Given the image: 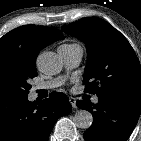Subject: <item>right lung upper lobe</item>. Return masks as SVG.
<instances>
[{"mask_svg": "<svg viewBox=\"0 0 141 141\" xmlns=\"http://www.w3.org/2000/svg\"><path fill=\"white\" fill-rule=\"evenodd\" d=\"M63 38L62 32L55 28L24 25L0 38V58L17 55L35 62L40 50Z\"/></svg>", "mask_w": 141, "mask_h": 141, "instance_id": "cb5924a9", "label": "right lung upper lobe"}]
</instances>
